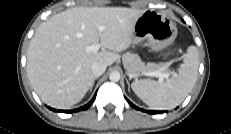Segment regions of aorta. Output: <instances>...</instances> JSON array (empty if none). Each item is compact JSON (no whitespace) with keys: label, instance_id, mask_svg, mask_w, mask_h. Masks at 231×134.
Returning <instances> with one entry per match:
<instances>
[{"label":"aorta","instance_id":"762f6f07","mask_svg":"<svg viewBox=\"0 0 231 134\" xmlns=\"http://www.w3.org/2000/svg\"><path fill=\"white\" fill-rule=\"evenodd\" d=\"M109 79L112 82H118L120 80V73L118 71H113L109 75Z\"/></svg>","mask_w":231,"mask_h":134}]
</instances>
